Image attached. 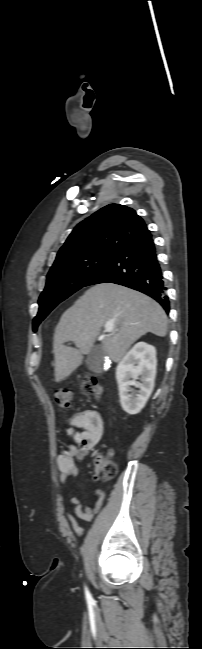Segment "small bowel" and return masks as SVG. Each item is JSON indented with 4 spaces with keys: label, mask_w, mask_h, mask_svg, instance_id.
<instances>
[{
    "label": "small bowel",
    "mask_w": 202,
    "mask_h": 649,
    "mask_svg": "<svg viewBox=\"0 0 202 649\" xmlns=\"http://www.w3.org/2000/svg\"><path fill=\"white\" fill-rule=\"evenodd\" d=\"M63 429L70 437V441L63 453L58 456L57 464L60 482L67 484L71 478L78 475L77 462L87 457L101 441L105 426L102 417L97 412L85 410L74 414ZM100 473L99 468L95 467L93 481L98 482L101 479ZM95 495L97 498L91 505L83 506L75 494L72 492L70 494L69 503L74 505V514L67 512L66 518L78 536L83 534V528L78 524L76 518L91 521L102 506L104 492L101 489H96Z\"/></svg>",
    "instance_id": "1"
}]
</instances>
